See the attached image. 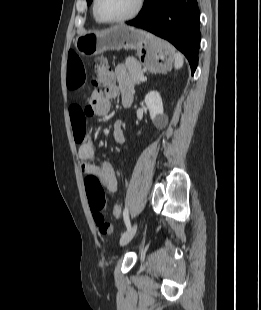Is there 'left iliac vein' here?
Masks as SVG:
<instances>
[{
    "label": "left iliac vein",
    "instance_id": "left-iliac-vein-1",
    "mask_svg": "<svg viewBox=\"0 0 261 310\" xmlns=\"http://www.w3.org/2000/svg\"><path fill=\"white\" fill-rule=\"evenodd\" d=\"M137 231V223L135 222L132 226H130L129 229L122 235L120 239V245L124 246L128 244L131 239L134 237L135 233Z\"/></svg>",
    "mask_w": 261,
    "mask_h": 310
}]
</instances>
